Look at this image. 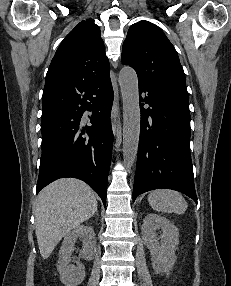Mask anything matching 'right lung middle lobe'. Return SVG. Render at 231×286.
<instances>
[{"label":"right lung middle lobe","mask_w":231,"mask_h":286,"mask_svg":"<svg viewBox=\"0 0 231 286\" xmlns=\"http://www.w3.org/2000/svg\"><path fill=\"white\" fill-rule=\"evenodd\" d=\"M58 111L56 109L43 110L42 112V120L52 117L57 114Z\"/></svg>","instance_id":"1"}]
</instances>
